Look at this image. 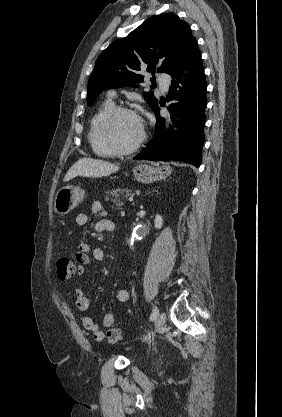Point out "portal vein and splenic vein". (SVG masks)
I'll list each match as a JSON object with an SVG mask.
<instances>
[{"label": "portal vein and splenic vein", "instance_id": "18ae733b", "mask_svg": "<svg viewBox=\"0 0 282 417\" xmlns=\"http://www.w3.org/2000/svg\"><path fill=\"white\" fill-rule=\"evenodd\" d=\"M132 200H133V198H132V196H130V198H127V199H126V202H127V203H131V202H132Z\"/></svg>", "mask_w": 282, "mask_h": 417}]
</instances>
